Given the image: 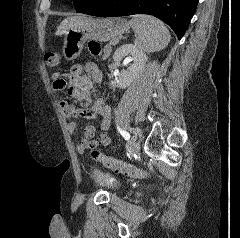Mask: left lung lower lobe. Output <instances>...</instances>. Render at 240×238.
<instances>
[{
  "mask_svg": "<svg viewBox=\"0 0 240 238\" xmlns=\"http://www.w3.org/2000/svg\"><path fill=\"white\" fill-rule=\"evenodd\" d=\"M197 4L198 0H98L81 13L97 17L153 15L166 22L181 39Z\"/></svg>",
  "mask_w": 240,
  "mask_h": 238,
  "instance_id": "obj_1",
  "label": "left lung lower lobe"
}]
</instances>
